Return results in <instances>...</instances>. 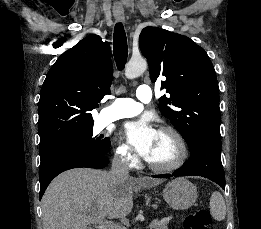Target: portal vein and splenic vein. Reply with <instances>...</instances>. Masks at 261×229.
Listing matches in <instances>:
<instances>
[{"instance_id": "18ae733b", "label": "portal vein and splenic vein", "mask_w": 261, "mask_h": 229, "mask_svg": "<svg viewBox=\"0 0 261 229\" xmlns=\"http://www.w3.org/2000/svg\"><path fill=\"white\" fill-rule=\"evenodd\" d=\"M149 224L150 226L148 229H153L155 227L156 221L150 220ZM99 225L100 227H96V229H124V227H115L113 221H100Z\"/></svg>"}]
</instances>
